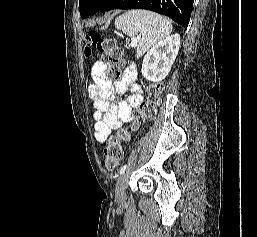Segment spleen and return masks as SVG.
<instances>
[{
	"mask_svg": "<svg viewBox=\"0 0 257 237\" xmlns=\"http://www.w3.org/2000/svg\"><path fill=\"white\" fill-rule=\"evenodd\" d=\"M115 27L129 37L140 35L137 59L167 38L172 31V25L166 18L146 10H131L120 15L115 20Z\"/></svg>",
	"mask_w": 257,
	"mask_h": 237,
	"instance_id": "spleen-1",
	"label": "spleen"
}]
</instances>
